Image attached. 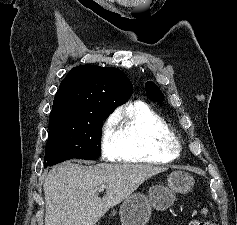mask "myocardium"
I'll use <instances>...</instances> for the list:
<instances>
[{
  "label": "myocardium",
  "mask_w": 237,
  "mask_h": 225,
  "mask_svg": "<svg viewBox=\"0 0 237 225\" xmlns=\"http://www.w3.org/2000/svg\"><path fill=\"white\" fill-rule=\"evenodd\" d=\"M165 147L167 150L177 154L181 150V142L177 137L173 136L171 139L167 140Z\"/></svg>",
  "instance_id": "obj_1"
}]
</instances>
